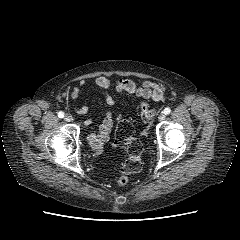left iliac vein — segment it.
<instances>
[{
    "instance_id": "1",
    "label": "left iliac vein",
    "mask_w": 240,
    "mask_h": 240,
    "mask_svg": "<svg viewBox=\"0 0 240 240\" xmlns=\"http://www.w3.org/2000/svg\"><path fill=\"white\" fill-rule=\"evenodd\" d=\"M165 114H164V112H161L160 114H159V116H158V120L159 121H163L164 119H165Z\"/></svg>"
}]
</instances>
